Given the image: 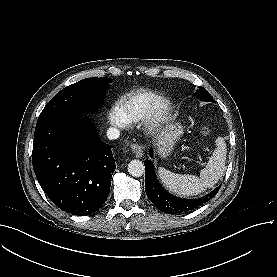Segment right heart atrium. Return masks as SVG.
<instances>
[{
  "instance_id": "obj_1",
  "label": "right heart atrium",
  "mask_w": 277,
  "mask_h": 277,
  "mask_svg": "<svg viewBox=\"0 0 277 277\" xmlns=\"http://www.w3.org/2000/svg\"><path fill=\"white\" fill-rule=\"evenodd\" d=\"M109 122L113 126L121 127L124 124V119L116 107H113L108 114Z\"/></svg>"
}]
</instances>
